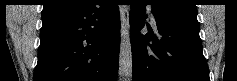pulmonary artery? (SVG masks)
Returning a JSON list of instances; mask_svg holds the SVG:
<instances>
[{
  "label": "pulmonary artery",
  "instance_id": "1",
  "mask_svg": "<svg viewBox=\"0 0 237 81\" xmlns=\"http://www.w3.org/2000/svg\"><path fill=\"white\" fill-rule=\"evenodd\" d=\"M151 21L155 24V19L153 15H151Z\"/></svg>",
  "mask_w": 237,
  "mask_h": 81
}]
</instances>
